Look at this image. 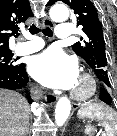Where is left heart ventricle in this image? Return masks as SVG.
I'll list each match as a JSON object with an SVG mask.
<instances>
[{
  "label": "left heart ventricle",
  "mask_w": 117,
  "mask_h": 136,
  "mask_svg": "<svg viewBox=\"0 0 117 136\" xmlns=\"http://www.w3.org/2000/svg\"><path fill=\"white\" fill-rule=\"evenodd\" d=\"M75 87L78 88V89H83L84 88V84L82 82H79V80H78L76 85H75Z\"/></svg>",
  "instance_id": "obj_1"
}]
</instances>
